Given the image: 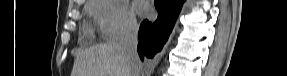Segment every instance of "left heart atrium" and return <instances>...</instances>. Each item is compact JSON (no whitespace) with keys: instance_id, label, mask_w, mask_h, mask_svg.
<instances>
[{"instance_id":"obj_1","label":"left heart atrium","mask_w":287,"mask_h":76,"mask_svg":"<svg viewBox=\"0 0 287 76\" xmlns=\"http://www.w3.org/2000/svg\"><path fill=\"white\" fill-rule=\"evenodd\" d=\"M136 10L143 16H147L151 13V7L145 1H139L135 5Z\"/></svg>"}]
</instances>
